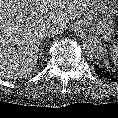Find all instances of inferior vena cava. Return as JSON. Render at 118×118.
Instances as JSON below:
<instances>
[{
    "label": "inferior vena cava",
    "mask_w": 118,
    "mask_h": 118,
    "mask_svg": "<svg viewBox=\"0 0 118 118\" xmlns=\"http://www.w3.org/2000/svg\"><path fill=\"white\" fill-rule=\"evenodd\" d=\"M64 26H60V25H57L55 23H50L48 26H47V30L50 34H57L61 31V29L63 28Z\"/></svg>",
    "instance_id": "1"
}]
</instances>
